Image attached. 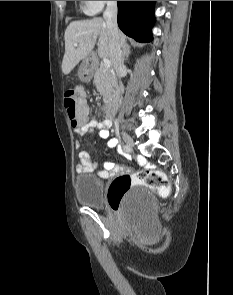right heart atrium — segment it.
<instances>
[{"label":"right heart atrium","instance_id":"right-heart-atrium-1","mask_svg":"<svg viewBox=\"0 0 233 295\" xmlns=\"http://www.w3.org/2000/svg\"><path fill=\"white\" fill-rule=\"evenodd\" d=\"M84 12L88 15H94L100 12L105 5L111 4L115 1H83Z\"/></svg>","mask_w":233,"mask_h":295}]
</instances>
